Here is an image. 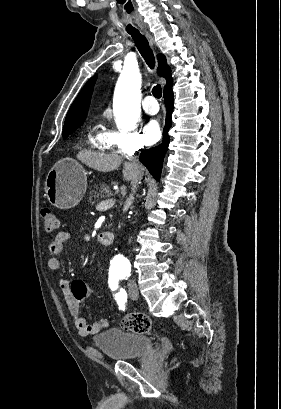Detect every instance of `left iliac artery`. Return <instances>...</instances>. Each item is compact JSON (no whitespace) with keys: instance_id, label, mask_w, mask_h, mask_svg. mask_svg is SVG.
I'll return each instance as SVG.
<instances>
[{"instance_id":"44dca946","label":"left iliac artery","mask_w":281,"mask_h":409,"mask_svg":"<svg viewBox=\"0 0 281 409\" xmlns=\"http://www.w3.org/2000/svg\"><path fill=\"white\" fill-rule=\"evenodd\" d=\"M119 278L117 277H110L109 278V287L112 291H114V298L117 301L119 309H125V303L127 301V293L126 291L121 288L118 284Z\"/></svg>"}]
</instances>
